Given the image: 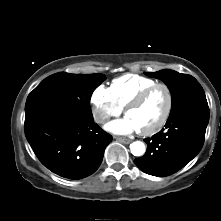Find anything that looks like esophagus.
Masks as SVG:
<instances>
[{
	"mask_svg": "<svg viewBox=\"0 0 221 221\" xmlns=\"http://www.w3.org/2000/svg\"><path fill=\"white\" fill-rule=\"evenodd\" d=\"M115 139L124 144H129L131 142L129 139L123 137H115Z\"/></svg>",
	"mask_w": 221,
	"mask_h": 221,
	"instance_id": "34e87169",
	"label": "esophagus"
}]
</instances>
